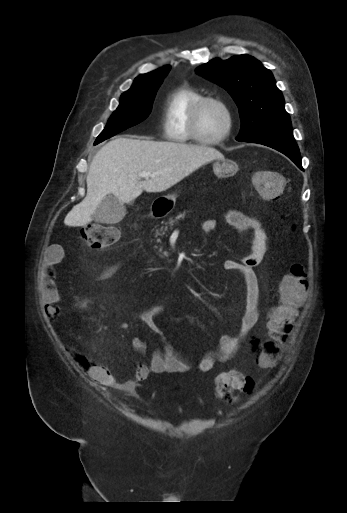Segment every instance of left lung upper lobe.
Here are the masks:
<instances>
[{
	"label": "left lung upper lobe",
	"instance_id": "obj_1",
	"mask_svg": "<svg viewBox=\"0 0 347 513\" xmlns=\"http://www.w3.org/2000/svg\"><path fill=\"white\" fill-rule=\"evenodd\" d=\"M196 72L226 89L234 99L241 119L238 141L291 128L283 95L272 73L255 58L239 55L225 61L213 59Z\"/></svg>",
	"mask_w": 347,
	"mask_h": 513
}]
</instances>
